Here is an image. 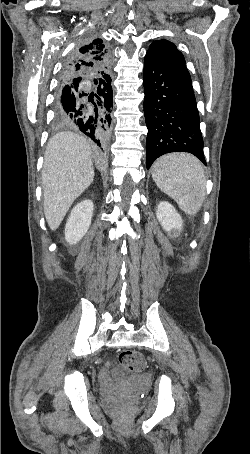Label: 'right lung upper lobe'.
Listing matches in <instances>:
<instances>
[{"instance_id": "obj_1", "label": "right lung upper lobe", "mask_w": 250, "mask_h": 454, "mask_svg": "<svg viewBox=\"0 0 250 454\" xmlns=\"http://www.w3.org/2000/svg\"><path fill=\"white\" fill-rule=\"evenodd\" d=\"M109 52L102 39L87 42L79 49L77 57L67 62L61 81L72 80L83 74L99 75L109 69Z\"/></svg>"}]
</instances>
